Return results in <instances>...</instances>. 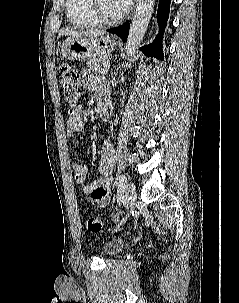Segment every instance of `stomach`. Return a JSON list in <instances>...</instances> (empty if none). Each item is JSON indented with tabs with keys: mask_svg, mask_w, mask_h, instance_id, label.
Wrapping results in <instances>:
<instances>
[{
	"mask_svg": "<svg viewBox=\"0 0 239 303\" xmlns=\"http://www.w3.org/2000/svg\"><path fill=\"white\" fill-rule=\"evenodd\" d=\"M117 46L114 36L67 39L61 47L62 56L69 60L85 61L96 56H107Z\"/></svg>",
	"mask_w": 239,
	"mask_h": 303,
	"instance_id": "1",
	"label": "stomach"
}]
</instances>
